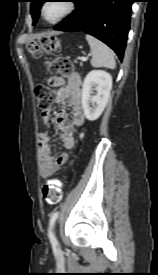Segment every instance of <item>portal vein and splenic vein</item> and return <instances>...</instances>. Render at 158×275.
Here are the masks:
<instances>
[{
    "instance_id": "18ae733b",
    "label": "portal vein and splenic vein",
    "mask_w": 158,
    "mask_h": 275,
    "mask_svg": "<svg viewBox=\"0 0 158 275\" xmlns=\"http://www.w3.org/2000/svg\"><path fill=\"white\" fill-rule=\"evenodd\" d=\"M80 59H81L82 61H86V60H87V57L82 56Z\"/></svg>"
}]
</instances>
